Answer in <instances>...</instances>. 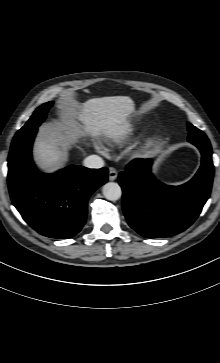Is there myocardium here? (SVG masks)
Wrapping results in <instances>:
<instances>
[{"mask_svg":"<svg viewBox=\"0 0 220 363\" xmlns=\"http://www.w3.org/2000/svg\"><path fill=\"white\" fill-rule=\"evenodd\" d=\"M144 147L142 145H137L133 147L130 151L131 156L139 157L144 152Z\"/></svg>","mask_w":220,"mask_h":363,"instance_id":"myocardium-1","label":"myocardium"}]
</instances>
